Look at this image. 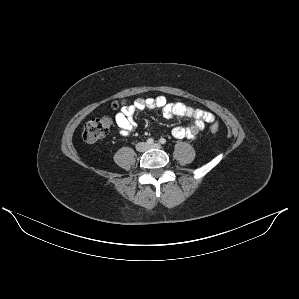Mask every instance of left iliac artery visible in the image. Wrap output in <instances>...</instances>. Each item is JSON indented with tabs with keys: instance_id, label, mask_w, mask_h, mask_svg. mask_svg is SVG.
Listing matches in <instances>:
<instances>
[{
	"instance_id": "44dca946",
	"label": "left iliac artery",
	"mask_w": 299,
	"mask_h": 299,
	"mask_svg": "<svg viewBox=\"0 0 299 299\" xmlns=\"http://www.w3.org/2000/svg\"><path fill=\"white\" fill-rule=\"evenodd\" d=\"M159 142H160L161 144H165V143H166V139H164V138H160Z\"/></svg>"
}]
</instances>
